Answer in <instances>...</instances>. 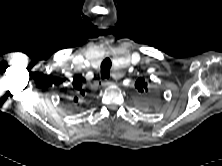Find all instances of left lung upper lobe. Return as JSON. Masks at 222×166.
Wrapping results in <instances>:
<instances>
[{"mask_svg": "<svg viewBox=\"0 0 222 166\" xmlns=\"http://www.w3.org/2000/svg\"><path fill=\"white\" fill-rule=\"evenodd\" d=\"M135 87L138 89V91L143 92V90L147 89V84L145 83L144 79L139 78L135 83Z\"/></svg>", "mask_w": 222, "mask_h": 166, "instance_id": "5c2ea615", "label": "left lung upper lobe"}]
</instances>
